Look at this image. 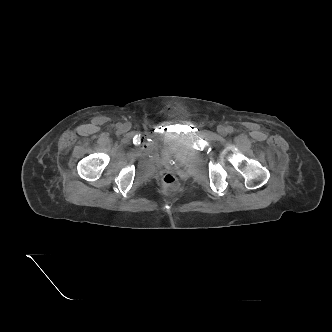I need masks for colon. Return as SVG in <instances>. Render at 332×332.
Wrapping results in <instances>:
<instances>
[{
    "mask_svg": "<svg viewBox=\"0 0 332 332\" xmlns=\"http://www.w3.org/2000/svg\"><path fill=\"white\" fill-rule=\"evenodd\" d=\"M162 186L165 191L173 193L178 190L179 182L173 174H165L162 178Z\"/></svg>",
    "mask_w": 332,
    "mask_h": 332,
    "instance_id": "colon-1",
    "label": "colon"
}]
</instances>
